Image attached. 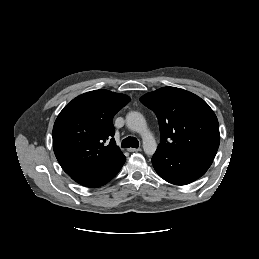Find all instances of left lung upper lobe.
<instances>
[{
    "instance_id": "left-lung-upper-lobe-1",
    "label": "left lung upper lobe",
    "mask_w": 259,
    "mask_h": 259,
    "mask_svg": "<svg viewBox=\"0 0 259 259\" xmlns=\"http://www.w3.org/2000/svg\"><path fill=\"white\" fill-rule=\"evenodd\" d=\"M140 101L158 118V147L177 155L215 157L220 143L219 124L200 97L180 88L163 87L143 95Z\"/></svg>"
}]
</instances>
